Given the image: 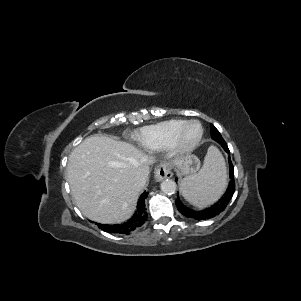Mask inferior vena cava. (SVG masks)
<instances>
[{
  "mask_svg": "<svg viewBox=\"0 0 301 301\" xmlns=\"http://www.w3.org/2000/svg\"><path fill=\"white\" fill-rule=\"evenodd\" d=\"M146 181H147V176L145 174L137 175L134 178V185L137 188H142L145 185Z\"/></svg>",
  "mask_w": 301,
  "mask_h": 301,
  "instance_id": "1",
  "label": "inferior vena cava"
}]
</instances>
